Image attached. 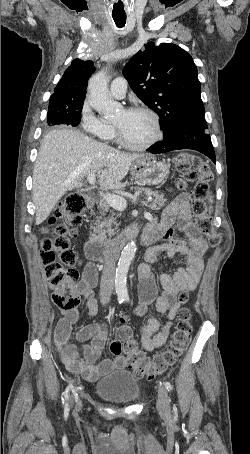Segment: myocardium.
<instances>
[{
	"label": "myocardium",
	"mask_w": 250,
	"mask_h": 454,
	"mask_svg": "<svg viewBox=\"0 0 250 454\" xmlns=\"http://www.w3.org/2000/svg\"><path fill=\"white\" fill-rule=\"evenodd\" d=\"M127 112H144L148 114L154 123L155 126V134L154 136L146 143L141 144V145H135L130 143L124 136L123 132L121 131L120 127L116 124H114V131H115V136L117 141L124 146L125 148L133 151H145L153 147L155 144H157L159 141L162 140L163 138V130H162V125L160 121L159 115L151 108L147 106H141V105H136L132 107H128L125 109Z\"/></svg>",
	"instance_id": "1"
}]
</instances>
